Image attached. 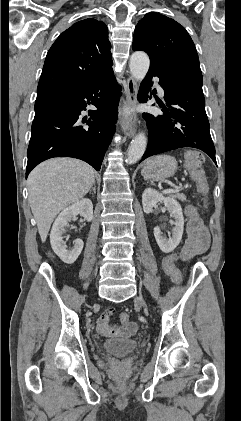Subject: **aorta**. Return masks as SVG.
Segmentation results:
<instances>
[{"mask_svg":"<svg viewBox=\"0 0 241 421\" xmlns=\"http://www.w3.org/2000/svg\"><path fill=\"white\" fill-rule=\"evenodd\" d=\"M150 66L148 55L143 51H136L130 57V72L134 79L141 82L146 76ZM147 145V138L144 133L137 134L131 141L127 151V163L134 164L143 156Z\"/></svg>","mask_w":241,"mask_h":421,"instance_id":"1","label":"aorta"}]
</instances>
